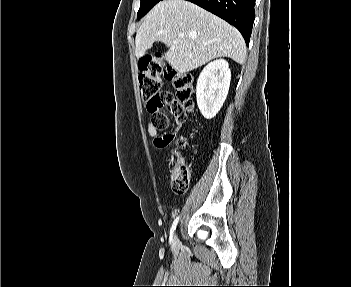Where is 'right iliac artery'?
<instances>
[{
	"mask_svg": "<svg viewBox=\"0 0 351 287\" xmlns=\"http://www.w3.org/2000/svg\"><path fill=\"white\" fill-rule=\"evenodd\" d=\"M178 221H179V216H177L174 221H173V224L171 226V230H170V241H173V237H174V232L176 230V226L178 224Z\"/></svg>",
	"mask_w": 351,
	"mask_h": 287,
	"instance_id": "82829eb1",
	"label": "right iliac artery"
}]
</instances>
